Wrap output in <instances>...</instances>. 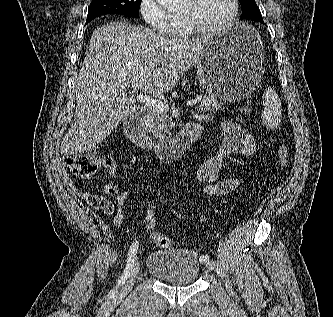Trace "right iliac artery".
Wrapping results in <instances>:
<instances>
[{"label": "right iliac artery", "mask_w": 333, "mask_h": 317, "mask_svg": "<svg viewBox=\"0 0 333 317\" xmlns=\"http://www.w3.org/2000/svg\"><path fill=\"white\" fill-rule=\"evenodd\" d=\"M138 246H139V243L137 241L132 243V245L129 249V252H128V260H127L126 268H125L123 274L121 275L120 279L118 280L116 288L114 290H112L113 293L117 292V288L122 286L125 283V281L128 279V277L130 276L131 271L134 266L135 259H136V253L138 250Z\"/></svg>", "instance_id": "right-iliac-artery-1"}]
</instances>
